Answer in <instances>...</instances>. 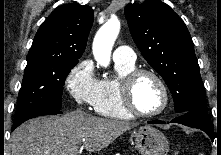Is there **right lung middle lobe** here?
I'll return each mask as SVG.
<instances>
[{"label":"right lung middle lobe","mask_w":221,"mask_h":155,"mask_svg":"<svg viewBox=\"0 0 221 155\" xmlns=\"http://www.w3.org/2000/svg\"><path fill=\"white\" fill-rule=\"evenodd\" d=\"M77 63L42 58L27 60L14 123L41 111L60 109L64 81Z\"/></svg>","instance_id":"dd1d6c3e"}]
</instances>
